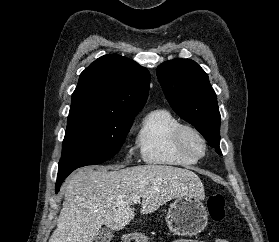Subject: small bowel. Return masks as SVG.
Here are the masks:
<instances>
[{
    "label": "small bowel",
    "instance_id": "small-bowel-1",
    "mask_svg": "<svg viewBox=\"0 0 279 242\" xmlns=\"http://www.w3.org/2000/svg\"><path fill=\"white\" fill-rule=\"evenodd\" d=\"M173 242H203V241H196V240H175ZM213 242H229L228 240L226 239H223V238H217L215 239Z\"/></svg>",
    "mask_w": 279,
    "mask_h": 242
}]
</instances>
